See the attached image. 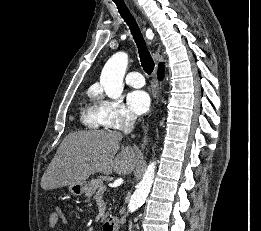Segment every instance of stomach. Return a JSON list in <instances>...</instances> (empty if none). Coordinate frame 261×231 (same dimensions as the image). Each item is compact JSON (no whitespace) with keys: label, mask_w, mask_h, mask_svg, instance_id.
I'll return each instance as SVG.
<instances>
[{"label":"stomach","mask_w":261,"mask_h":231,"mask_svg":"<svg viewBox=\"0 0 261 231\" xmlns=\"http://www.w3.org/2000/svg\"><path fill=\"white\" fill-rule=\"evenodd\" d=\"M85 187H86L85 182L80 183V184L70 185L69 186V192L73 196H81L85 192Z\"/></svg>","instance_id":"obj_1"}]
</instances>
